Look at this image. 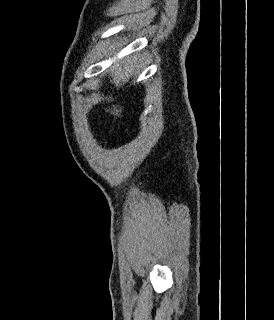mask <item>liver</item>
<instances>
[{"mask_svg":"<svg viewBox=\"0 0 274 320\" xmlns=\"http://www.w3.org/2000/svg\"><path fill=\"white\" fill-rule=\"evenodd\" d=\"M136 62V56H128L125 62H122V60L113 62L112 66L108 68V70H110L109 76L112 78L111 82L116 86L117 90L123 88L124 84L132 78L133 74H136ZM121 64H123V66H121ZM106 112H111L114 116H121L122 114V110H119L116 106H113L111 110H107L106 108Z\"/></svg>","mask_w":274,"mask_h":320,"instance_id":"obj_1","label":"liver"}]
</instances>
